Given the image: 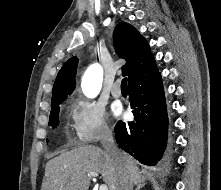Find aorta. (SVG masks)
<instances>
[{
	"label": "aorta",
	"mask_w": 221,
	"mask_h": 190,
	"mask_svg": "<svg viewBox=\"0 0 221 190\" xmlns=\"http://www.w3.org/2000/svg\"><path fill=\"white\" fill-rule=\"evenodd\" d=\"M103 69L99 64L91 65L85 72L81 88L88 98H95L102 86Z\"/></svg>",
	"instance_id": "aorta-1"
}]
</instances>
